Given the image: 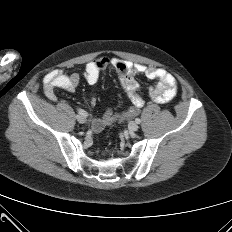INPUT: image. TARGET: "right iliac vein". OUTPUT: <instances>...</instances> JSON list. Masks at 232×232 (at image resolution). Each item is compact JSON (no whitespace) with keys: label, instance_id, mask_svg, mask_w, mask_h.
<instances>
[{"label":"right iliac vein","instance_id":"1","mask_svg":"<svg viewBox=\"0 0 232 232\" xmlns=\"http://www.w3.org/2000/svg\"><path fill=\"white\" fill-rule=\"evenodd\" d=\"M76 119L79 123H85L86 122V117L81 115V114H78L76 115Z\"/></svg>","mask_w":232,"mask_h":232}]
</instances>
